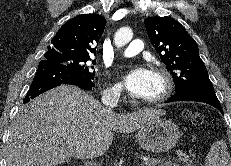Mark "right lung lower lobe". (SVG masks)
Here are the masks:
<instances>
[{
	"label": "right lung lower lobe",
	"instance_id": "1",
	"mask_svg": "<svg viewBox=\"0 0 231 166\" xmlns=\"http://www.w3.org/2000/svg\"><path fill=\"white\" fill-rule=\"evenodd\" d=\"M61 84L76 85L85 90H91L94 87L92 78L76 72L67 66L42 60L39 63L37 72L23 103H27L30 99Z\"/></svg>",
	"mask_w": 231,
	"mask_h": 166
}]
</instances>
